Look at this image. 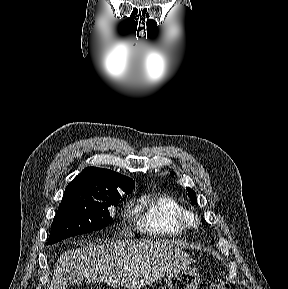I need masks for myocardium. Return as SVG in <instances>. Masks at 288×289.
Instances as JSON below:
<instances>
[{
	"instance_id": "f54148a6",
	"label": "myocardium",
	"mask_w": 288,
	"mask_h": 289,
	"mask_svg": "<svg viewBox=\"0 0 288 289\" xmlns=\"http://www.w3.org/2000/svg\"><path fill=\"white\" fill-rule=\"evenodd\" d=\"M188 222H189L190 226H193V227H198L200 224V220H199L197 214L192 212V211H189V213H188Z\"/></svg>"
}]
</instances>
